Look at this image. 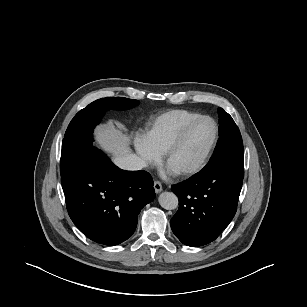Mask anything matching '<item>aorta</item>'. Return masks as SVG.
<instances>
[{"label": "aorta", "instance_id": "aorta-1", "mask_svg": "<svg viewBox=\"0 0 307 307\" xmlns=\"http://www.w3.org/2000/svg\"><path fill=\"white\" fill-rule=\"evenodd\" d=\"M159 204L166 210H173L178 207V197L173 192H163L158 198Z\"/></svg>", "mask_w": 307, "mask_h": 307}]
</instances>
